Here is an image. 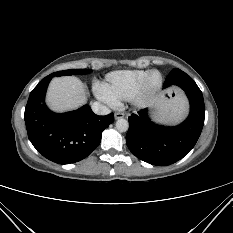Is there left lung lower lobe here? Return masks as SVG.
<instances>
[{
  "mask_svg": "<svg viewBox=\"0 0 233 233\" xmlns=\"http://www.w3.org/2000/svg\"><path fill=\"white\" fill-rule=\"evenodd\" d=\"M164 88L178 86L190 101V114L178 126L153 123L147 109L129 117L126 143L137 158L157 166H167L182 159L196 144L204 124L205 106L202 92L194 80L180 69H173Z\"/></svg>",
  "mask_w": 233,
  "mask_h": 233,
  "instance_id": "0a47b994",
  "label": "left lung lower lobe"
}]
</instances>
